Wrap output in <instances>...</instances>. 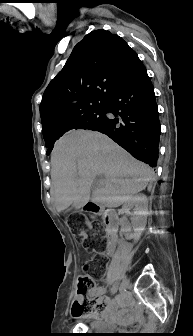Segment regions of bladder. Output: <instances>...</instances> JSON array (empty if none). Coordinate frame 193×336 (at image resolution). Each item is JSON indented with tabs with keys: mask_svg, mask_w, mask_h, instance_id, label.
Segmentation results:
<instances>
[{
	"mask_svg": "<svg viewBox=\"0 0 193 336\" xmlns=\"http://www.w3.org/2000/svg\"><path fill=\"white\" fill-rule=\"evenodd\" d=\"M102 324H96V326L95 327H99V326H101Z\"/></svg>",
	"mask_w": 193,
	"mask_h": 336,
	"instance_id": "31cf9c89",
	"label": "bladder"
}]
</instances>
